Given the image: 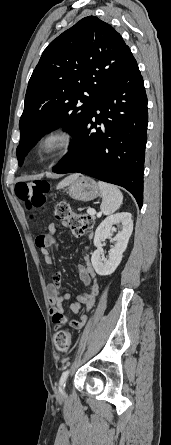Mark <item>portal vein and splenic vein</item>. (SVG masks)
Returning a JSON list of instances; mask_svg holds the SVG:
<instances>
[{"mask_svg": "<svg viewBox=\"0 0 171 445\" xmlns=\"http://www.w3.org/2000/svg\"><path fill=\"white\" fill-rule=\"evenodd\" d=\"M87 212H88L90 215H95V214H96V211H95V209H93V208L88 209Z\"/></svg>", "mask_w": 171, "mask_h": 445, "instance_id": "18ae733b", "label": "portal vein and splenic vein"}]
</instances>
